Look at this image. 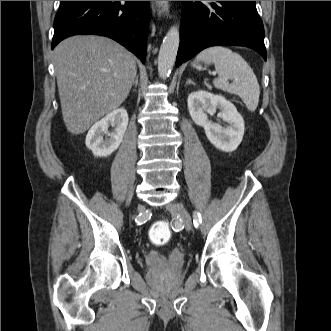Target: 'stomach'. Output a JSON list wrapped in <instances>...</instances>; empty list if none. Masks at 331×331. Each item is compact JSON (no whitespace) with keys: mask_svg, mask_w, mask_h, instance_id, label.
I'll use <instances>...</instances> for the list:
<instances>
[{"mask_svg":"<svg viewBox=\"0 0 331 331\" xmlns=\"http://www.w3.org/2000/svg\"><path fill=\"white\" fill-rule=\"evenodd\" d=\"M192 65H193L194 67H196V68H198V67H199V64H198V62H194Z\"/></svg>","mask_w":331,"mask_h":331,"instance_id":"0dacf381","label":"stomach"}]
</instances>
